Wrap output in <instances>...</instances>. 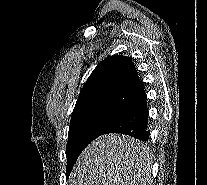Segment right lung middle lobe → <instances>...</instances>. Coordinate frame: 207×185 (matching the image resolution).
Listing matches in <instances>:
<instances>
[{"instance_id": "obj_1", "label": "right lung middle lobe", "mask_w": 207, "mask_h": 185, "mask_svg": "<svg viewBox=\"0 0 207 185\" xmlns=\"http://www.w3.org/2000/svg\"><path fill=\"white\" fill-rule=\"evenodd\" d=\"M122 112L114 108L97 107L72 115L66 146L67 176L84 148L102 135Z\"/></svg>"}]
</instances>
